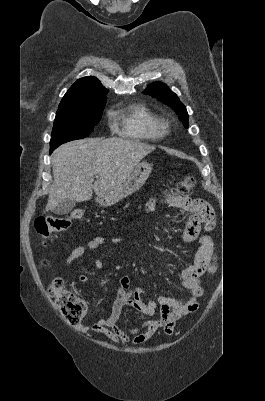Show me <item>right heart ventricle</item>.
<instances>
[{"mask_svg": "<svg viewBox=\"0 0 265 401\" xmlns=\"http://www.w3.org/2000/svg\"><path fill=\"white\" fill-rule=\"evenodd\" d=\"M122 116V130L137 138H158L159 117L144 103L128 98L121 99L112 111Z\"/></svg>", "mask_w": 265, "mask_h": 401, "instance_id": "e07e8e85", "label": "right heart ventricle"}]
</instances>
